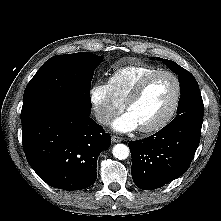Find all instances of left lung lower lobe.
Masks as SVG:
<instances>
[{
	"label": "left lung lower lobe",
	"mask_w": 221,
	"mask_h": 221,
	"mask_svg": "<svg viewBox=\"0 0 221 221\" xmlns=\"http://www.w3.org/2000/svg\"><path fill=\"white\" fill-rule=\"evenodd\" d=\"M202 122L196 115L175 119L146 139L130 141L134 183L153 190L183 175L199 145Z\"/></svg>",
	"instance_id": "obj_1"
}]
</instances>
